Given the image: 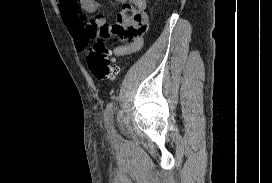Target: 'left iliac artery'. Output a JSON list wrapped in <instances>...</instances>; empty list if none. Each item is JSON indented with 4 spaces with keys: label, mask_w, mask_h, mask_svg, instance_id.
I'll return each instance as SVG.
<instances>
[{
    "label": "left iliac artery",
    "mask_w": 272,
    "mask_h": 183,
    "mask_svg": "<svg viewBox=\"0 0 272 183\" xmlns=\"http://www.w3.org/2000/svg\"><path fill=\"white\" fill-rule=\"evenodd\" d=\"M113 115H114V103L107 104L104 112V120L108 128L113 130Z\"/></svg>",
    "instance_id": "44dca946"
}]
</instances>
